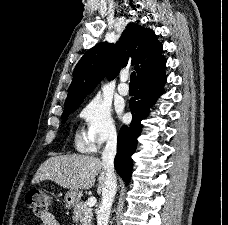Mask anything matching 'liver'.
Listing matches in <instances>:
<instances>
[{
	"mask_svg": "<svg viewBox=\"0 0 228 225\" xmlns=\"http://www.w3.org/2000/svg\"><path fill=\"white\" fill-rule=\"evenodd\" d=\"M96 175H99L98 193H101L105 171L100 159L87 155H61L50 157L42 163L32 183L54 181L64 189H91L95 185Z\"/></svg>",
	"mask_w": 228,
	"mask_h": 225,
	"instance_id": "obj_1",
	"label": "liver"
}]
</instances>
